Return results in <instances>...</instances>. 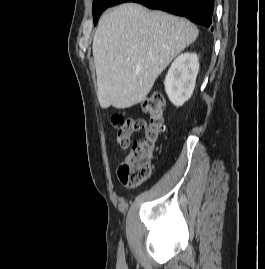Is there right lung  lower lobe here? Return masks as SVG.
<instances>
[{"mask_svg":"<svg viewBox=\"0 0 265 269\" xmlns=\"http://www.w3.org/2000/svg\"><path fill=\"white\" fill-rule=\"evenodd\" d=\"M124 2H136L150 9L184 16L207 28L212 23L214 0H114L110 7Z\"/></svg>","mask_w":265,"mask_h":269,"instance_id":"1","label":"right lung lower lobe"}]
</instances>
